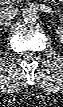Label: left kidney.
Segmentation results:
<instances>
[{
	"label": "left kidney",
	"mask_w": 63,
	"mask_h": 107,
	"mask_svg": "<svg viewBox=\"0 0 63 107\" xmlns=\"http://www.w3.org/2000/svg\"><path fill=\"white\" fill-rule=\"evenodd\" d=\"M57 34H58L59 40L63 42V27L62 26L58 27Z\"/></svg>",
	"instance_id": "left-kidney-1"
}]
</instances>
